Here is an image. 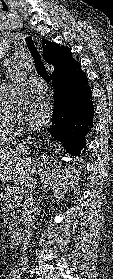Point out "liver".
Wrapping results in <instances>:
<instances>
[{"label":"liver","instance_id":"obj_1","mask_svg":"<svg viewBox=\"0 0 113 279\" xmlns=\"http://www.w3.org/2000/svg\"><path fill=\"white\" fill-rule=\"evenodd\" d=\"M31 161L21 157L18 151L0 150V180H13L15 184H24L30 171Z\"/></svg>","mask_w":113,"mask_h":279}]
</instances>
